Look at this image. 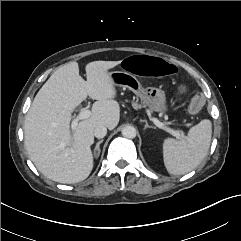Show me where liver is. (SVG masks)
<instances>
[{
    "label": "liver",
    "mask_w": 241,
    "mask_h": 241,
    "mask_svg": "<svg viewBox=\"0 0 241 241\" xmlns=\"http://www.w3.org/2000/svg\"><path fill=\"white\" fill-rule=\"evenodd\" d=\"M121 61H93L85 66V81L77 62L59 67L35 96L25 117L24 143L36 168L47 178L64 184L85 180L93 169L94 130L119 123L120 106L108 70ZM89 96L91 116L70 132L72 112Z\"/></svg>",
    "instance_id": "6515ba94"
}]
</instances>
